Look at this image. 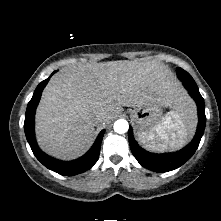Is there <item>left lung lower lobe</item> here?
I'll list each match as a JSON object with an SVG mask.
<instances>
[{"instance_id": "1", "label": "left lung lower lobe", "mask_w": 221, "mask_h": 221, "mask_svg": "<svg viewBox=\"0 0 221 221\" xmlns=\"http://www.w3.org/2000/svg\"><path fill=\"white\" fill-rule=\"evenodd\" d=\"M183 84L192 98L196 101L199 117L197 131L190 144L175 153L153 154L143 150L136 143L133 138L131 127L128 131L129 144L133 155L143 167L154 172H168L182 166L195 153L204 133L206 124L204 99L199 93L195 81L183 80Z\"/></svg>"}]
</instances>
